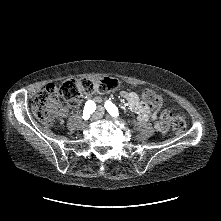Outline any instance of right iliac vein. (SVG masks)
Segmentation results:
<instances>
[{"label": "right iliac vein", "mask_w": 221, "mask_h": 221, "mask_svg": "<svg viewBox=\"0 0 221 221\" xmlns=\"http://www.w3.org/2000/svg\"><path fill=\"white\" fill-rule=\"evenodd\" d=\"M96 119H98V118H100L101 117V114L100 113H97V114H95V116H94ZM86 126V123H83L82 124V127H85Z\"/></svg>", "instance_id": "1"}]
</instances>
